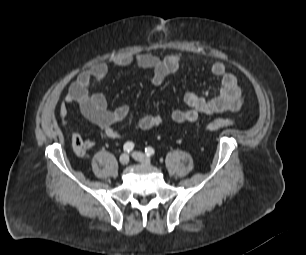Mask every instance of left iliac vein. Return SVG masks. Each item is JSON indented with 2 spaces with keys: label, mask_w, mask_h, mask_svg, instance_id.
I'll return each instance as SVG.
<instances>
[{
  "label": "left iliac vein",
  "mask_w": 306,
  "mask_h": 255,
  "mask_svg": "<svg viewBox=\"0 0 306 255\" xmlns=\"http://www.w3.org/2000/svg\"><path fill=\"white\" fill-rule=\"evenodd\" d=\"M132 157L144 165L151 166L150 158L142 152L135 151L132 153Z\"/></svg>",
  "instance_id": "obj_1"
}]
</instances>
